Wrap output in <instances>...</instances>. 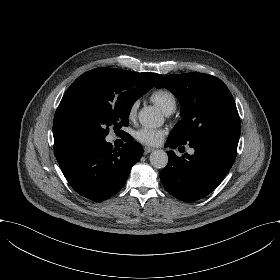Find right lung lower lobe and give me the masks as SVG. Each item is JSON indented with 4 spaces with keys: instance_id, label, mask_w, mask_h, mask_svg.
Returning a JSON list of instances; mask_svg holds the SVG:
<instances>
[{
    "instance_id": "obj_1",
    "label": "right lung lower lobe",
    "mask_w": 280,
    "mask_h": 280,
    "mask_svg": "<svg viewBox=\"0 0 280 280\" xmlns=\"http://www.w3.org/2000/svg\"><path fill=\"white\" fill-rule=\"evenodd\" d=\"M65 178L81 196L100 202L115 195L143 155L137 142L113 148L104 140H80L55 152Z\"/></svg>"
}]
</instances>
